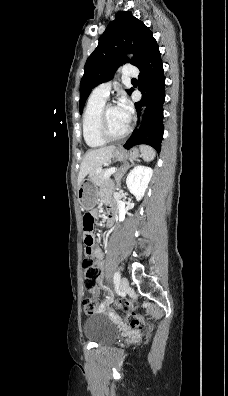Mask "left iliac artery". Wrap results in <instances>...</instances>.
<instances>
[{
	"label": "left iliac artery",
	"instance_id": "left-iliac-artery-1",
	"mask_svg": "<svg viewBox=\"0 0 228 396\" xmlns=\"http://www.w3.org/2000/svg\"><path fill=\"white\" fill-rule=\"evenodd\" d=\"M113 281H114L115 284L120 281V273L119 272H115L114 273Z\"/></svg>",
	"mask_w": 228,
	"mask_h": 396
}]
</instances>
